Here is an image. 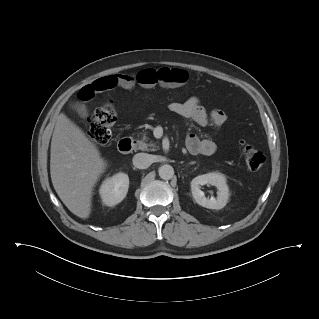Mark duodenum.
Instances as JSON below:
<instances>
[{
  "label": "duodenum",
  "instance_id": "410a0bca",
  "mask_svg": "<svg viewBox=\"0 0 319 319\" xmlns=\"http://www.w3.org/2000/svg\"><path fill=\"white\" fill-rule=\"evenodd\" d=\"M134 147V141L130 138H123L118 143L119 152L126 154L130 152Z\"/></svg>",
  "mask_w": 319,
  "mask_h": 319
}]
</instances>
